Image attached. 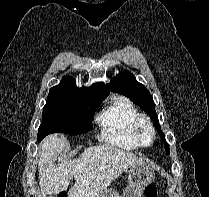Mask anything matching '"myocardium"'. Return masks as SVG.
<instances>
[{"label": "myocardium", "instance_id": "obj_1", "mask_svg": "<svg viewBox=\"0 0 209 197\" xmlns=\"http://www.w3.org/2000/svg\"><path fill=\"white\" fill-rule=\"evenodd\" d=\"M144 130H149L151 133V140L149 142H145L143 139ZM135 138L139 146L149 147L154 144L156 140V129L152 123V121L146 116H139L135 123Z\"/></svg>", "mask_w": 209, "mask_h": 197}]
</instances>
